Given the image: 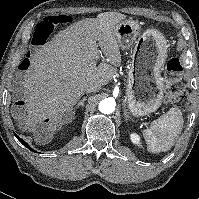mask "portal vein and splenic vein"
<instances>
[{
	"instance_id": "18ae733b",
	"label": "portal vein and splenic vein",
	"mask_w": 199,
	"mask_h": 199,
	"mask_svg": "<svg viewBox=\"0 0 199 199\" xmlns=\"http://www.w3.org/2000/svg\"><path fill=\"white\" fill-rule=\"evenodd\" d=\"M90 67H91V68L96 67V61H92L91 64H90Z\"/></svg>"
}]
</instances>
